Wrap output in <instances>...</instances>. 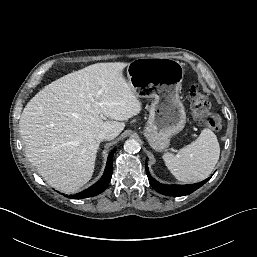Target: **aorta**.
I'll return each instance as SVG.
<instances>
[{
	"label": "aorta",
	"mask_w": 257,
	"mask_h": 257,
	"mask_svg": "<svg viewBox=\"0 0 257 257\" xmlns=\"http://www.w3.org/2000/svg\"><path fill=\"white\" fill-rule=\"evenodd\" d=\"M124 150L128 153H137L140 150V144L135 139H128L124 143Z\"/></svg>",
	"instance_id": "1"
}]
</instances>
